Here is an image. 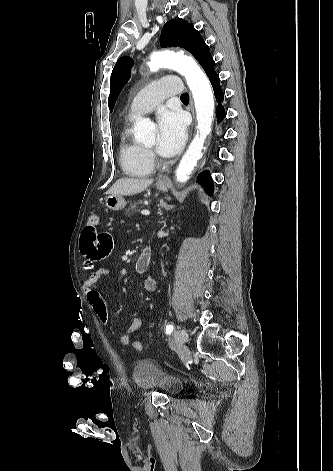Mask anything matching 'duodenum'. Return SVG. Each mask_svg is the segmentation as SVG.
I'll list each match as a JSON object with an SVG mask.
<instances>
[{
	"mask_svg": "<svg viewBox=\"0 0 333 471\" xmlns=\"http://www.w3.org/2000/svg\"><path fill=\"white\" fill-rule=\"evenodd\" d=\"M151 258L150 248H145L134 262L135 271L139 273L145 272L151 263Z\"/></svg>",
	"mask_w": 333,
	"mask_h": 471,
	"instance_id": "duodenum-1",
	"label": "duodenum"
}]
</instances>
